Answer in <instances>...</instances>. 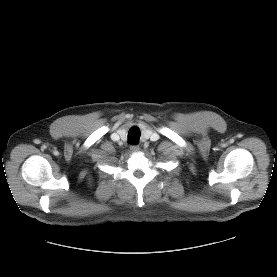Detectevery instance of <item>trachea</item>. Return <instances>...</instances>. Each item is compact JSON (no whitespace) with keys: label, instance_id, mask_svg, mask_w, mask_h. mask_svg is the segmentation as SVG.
<instances>
[{"label":"trachea","instance_id":"3493384b","mask_svg":"<svg viewBox=\"0 0 277 277\" xmlns=\"http://www.w3.org/2000/svg\"><path fill=\"white\" fill-rule=\"evenodd\" d=\"M139 138L140 131L136 127L131 128L128 132V143L137 144L139 142Z\"/></svg>","mask_w":277,"mask_h":277}]
</instances>
